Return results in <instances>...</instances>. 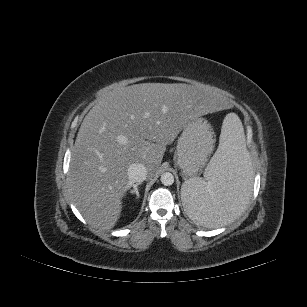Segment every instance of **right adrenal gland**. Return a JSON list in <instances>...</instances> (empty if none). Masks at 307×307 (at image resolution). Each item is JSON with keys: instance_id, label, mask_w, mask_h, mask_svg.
Listing matches in <instances>:
<instances>
[{"instance_id": "right-adrenal-gland-1", "label": "right adrenal gland", "mask_w": 307, "mask_h": 307, "mask_svg": "<svg viewBox=\"0 0 307 307\" xmlns=\"http://www.w3.org/2000/svg\"><path fill=\"white\" fill-rule=\"evenodd\" d=\"M141 185V183H136L135 185H133V189L130 190V193L133 195V194H136V198L138 199L139 198V191H138V186Z\"/></svg>"}]
</instances>
